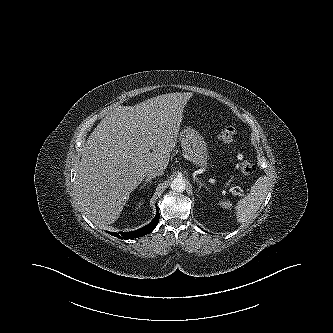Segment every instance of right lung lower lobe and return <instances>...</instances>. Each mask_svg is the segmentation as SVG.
I'll list each match as a JSON object with an SVG mask.
<instances>
[{"instance_id": "right-lung-lower-lobe-1", "label": "right lung lower lobe", "mask_w": 333, "mask_h": 333, "mask_svg": "<svg viewBox=\"0 0 333 333\" xmlns=\"http://www.w3.org/2000/svg\"><path fill=\"white\" fill-rule=\"evenodd\" d=\"M158 221H159V212L157 211L156 216L152 220V222L138 230H135L132 232H120L119 234L116 232H114V233L109 232V234H111L117 238H120V239L138 238V237H141V236H144V235L150 233L156 227V225L158 224Z\"/></svg>"}]
</instances>
